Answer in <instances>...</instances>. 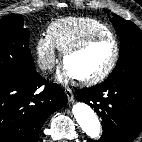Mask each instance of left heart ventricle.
Returning a JSON list of instances; mask_svg holds the SVG:
<instances>
[{"instance_id": "1", "label": "left heart ventricle", "mask_w": 142, "mask_h": 142, "mask_svg": "<svg viewBox=\"0 0 142 142\" xmlns=\"http://www.w3.org/2000/svg\"><path fill=\"white\" fill-rule=\"evenodd\" d=\"M114 54L110 40H99L66 59L65 67L76 78H86L103 71Z\"/></svg>"}]
</instances>
